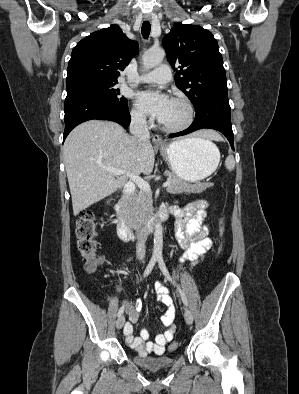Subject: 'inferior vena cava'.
I'll list each match as a JSON object with an SVG mask.
<instances>
[{
  "mask_svg": "<svg viewBox=\"0 0 299 394\" xmlns=\"http://www.w3.org/2000/svg\"><path fill=\"white\" fill-rule=\"evenodd\" d=\"M130 133L138 140L139 143L149 142L150 134L146 126V118L144 115H132ZM145 242L146 237L141 235V238L136 245V255L139 260H143L145 258Z\"/></svg>",
  "mask_w": 299,
  "mask_h": 394,
  "instance_id": "inferior-vena-cava-1",
  "label": "inferior vena cava"
}]
</instances>
